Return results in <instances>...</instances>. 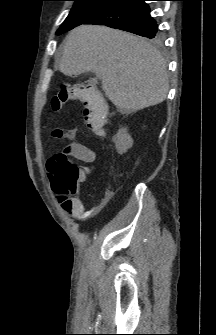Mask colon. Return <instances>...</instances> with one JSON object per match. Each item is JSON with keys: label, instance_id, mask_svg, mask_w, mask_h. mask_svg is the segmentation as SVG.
Segmentation results:
<instances>
[{"label": "colon", "instance_id": "5ec220e1", "mask_svg": "<svg viewBox=\"0 0 216 335\" xmlns=\"http://www.w3.org/2000/svg\"><path fill=\"white\" fill-rule=\"evenodd\" d=\"M70 102H82L84 105L85 121L95 132H102L107 118V105L100 100L95 92L87 85L77 84L71 87H61L51 99V109L59 111ZM70 150L65 146L48 161L51 169L50 180L53 190L63 199L62 207L72 212L80 207L72 197L84 178H90L91 169L88 166L80 168L69 159Z\"/></svg>", "mask_w": 216, "mask_h": 335}]
</instances>
